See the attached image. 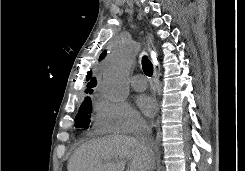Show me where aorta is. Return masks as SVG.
<instances>
[{
	"label": "aorta",
	"mask_w": 245,
	"mask_h": 171,
	"mask_svg": "<svg viewBox=\"0 0 245 171\" xmlns=\"http://www.w3.org/2000/svg\"><path fill=\"white\" fill-rule=\"evenodd\" d=\"M140 44L132 39L125 40L107 61L102 80L105 95L114 100L129 95L128 77L135 63Z\"/></svg>",
	"instance_id": "1"
}]
</instances>
